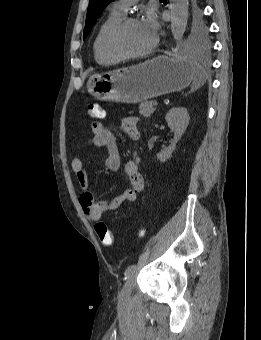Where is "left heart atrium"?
Masks as SVG:
<instances>
[{
	"mask_svg": "<svg viewBox=\"0 0 261 340\" xmlns=\"http://www.w3.org/2000/svg\"><path fill=\"white\" fill-rule=\"evenodd\" d=\"M141 23L150 34L155 35L158 28V22L154 14H147Z\"/></svg>",
	"mask_w": 261,
	"mask_h": 340,
	"instance_id": "39dd6f15",
	"label": "left heart atrium"
}]
</instances>
